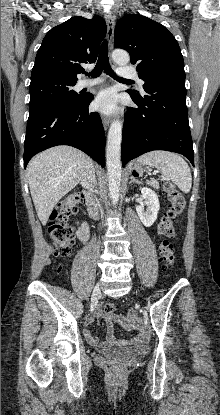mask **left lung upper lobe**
<instances>
[{
  "label": "left lung upper lobe",
  "instance_id": "left-lung-upper-lobe-1",
  "mask_svg": "<svg viewBox=\"0 0 220 415\" xmlns=\"http://www.w3.org/2000/svg\"><path fill=\"white\" fill-rule=\"evenodd\" d=\"M114 46L127 50L132 64L138 63L137 72L145 84L157 80L185 81L178 42L163 25L145 16L133 14L120 19Z\"/></svg>",
  "mask_w": 220,
  "mask_h": 415
}]
</instances>
